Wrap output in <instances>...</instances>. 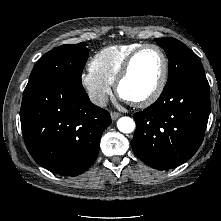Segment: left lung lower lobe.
<instances>
[{
  "label": "left lung lower lobe",
  "instance_id": "obj_1",
  "mask_svg": "<svg viewBox=\"0 0 221 221\" xmlns=\"http://www.w3.org/2000/svg\"><path fill=\"white\" fill-rule=\"evenodd\" d=\"M210 113V88L204 72L189 74L168 88L151 106L134 114L135 155L165 170L189 160L200 147Z\"/></svg>",
  "mask_w": 221,
  "mask_h": 221
}]
</instances>
